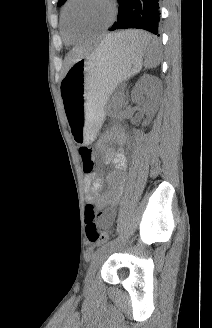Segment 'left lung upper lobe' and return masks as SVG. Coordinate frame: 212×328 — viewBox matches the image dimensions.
<instances>
[{
  "mask_svg": "<svg viewBox=\"0 0 212 328\" xmlns=\"http://www.w3.org/2000/svg\"><path fill=\"white\" fill-rule=\"evenodd\" d=\"M65 1H66V0H59V2H58V6H61L62 4H64Z\"/></svg>",
  "mask_w": 212,
  "mask_h": 328,
  "instance_id": "5c2ea615",
  "label": "left lung upper lobe"
}]
</instances>
